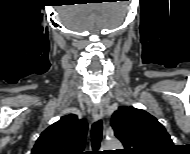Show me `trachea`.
<instances>
[{
  "mask_svg": "<svg viewBox=\"0 0 190 154\" xmlns=\"http://www.w3.org/2000/svg\"><path fill=\"white\" fill-rule=\"evenodd\" d=\"M103 125L102 121L98 120L93 123L91 128V145H92V154H98L100 143L102 140Z\"/></svg>",
  "mask_w": 190,
  "mask_h": 154,
  "instance_id": "3493384b",
  "label": "trachea"
}]
</instances>
